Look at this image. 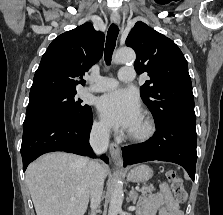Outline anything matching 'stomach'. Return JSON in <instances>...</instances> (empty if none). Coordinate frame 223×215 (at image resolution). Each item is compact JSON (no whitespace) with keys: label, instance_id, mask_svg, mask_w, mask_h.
I'll use <instances>...</instances> for the list:
<instances>
[{"label":"stomach","instance_id":"obj_1","mask_svg":"<svg viewBox=\"0 0 223 215\" xmlns=\"http://www.w3.org/2000/svg\"><path fill=\"white\" fill-rule=\"evenodd\" d=\"M152 173L153 171L148 165H137V167H133V169L128 171L127 179H129V181H137V183H140V181H147V179H150Z\"/></svg>","mask_w":223,"mask_h":215}]
</instances>
